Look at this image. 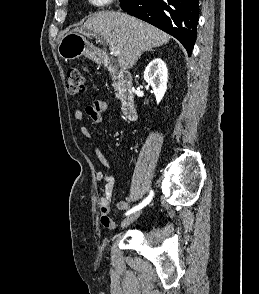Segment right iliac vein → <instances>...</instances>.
<instances>
[{
  "label": "right iliac vein",
  "instance_id": "obj_1",
  "mask_svg": "<svg viewBox=\"0 0 259 294\" xmlns=\"http://www.w3.org/2000/svg\"><path fill=\"white\" fill-rule=\"evenodd\" d=\"M141 211H136L134 213H132L131 215L127 216L121 223V227H127L129 226L131 223H133L135 220L138 219V217L140 216Z\"/></svg>",
  "mask_w": 259,
  "mask_h": 294
}]
</instances>
